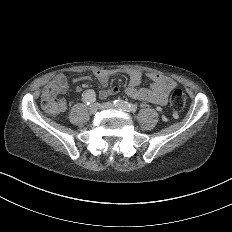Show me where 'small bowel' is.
<instances>
[{"mask_svg": "<svg viewBox=\"0 0 232 232\" xmlns=\"http://www.w3.org/2000/svg\"><path fill=\"white\" fill-rule=\"evenodd\" d=\"M95 74L101 85L107 86L110 81V77L114 74V70L111 69H97ZM153 83L148 88H137L142 82V75L137 71L130 72L129 86L124 90L125 94L131 98L155 102L158 104L167 103L168 92L175 88L176 83L173 79L163 74H153L151 76ZM87 82V78L77 77L66 79L63 74H56L52 80L47 82L43 88L45 94L55 95L64 90L68 85L84 84ZM77 91H81V88H77ZM115 96V93L110 89L103 90L99 97L101 100H106Z\"/></svg>", "mask_w": 232, "mask_h": 232, "instance_id": "obj_1", "label": "small bowel"}]
</instances>
